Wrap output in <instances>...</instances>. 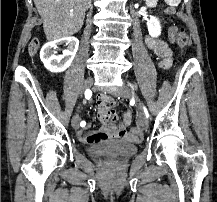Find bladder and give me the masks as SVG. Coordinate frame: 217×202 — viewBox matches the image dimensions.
<instances>
[{"label":"bladder","mask_w":217,"mask_h":202,"mask_svg":"<svg viewBox=\"0 0 217 202\" xmlns=\"http://www.w3.org/2000/svg\"><path fill=\"white\" fill-rule=\"evenodd\" d=\"M136 150V145L125 140H109L106 142L93 143L87 147L90 157L93 158H102L108 153L117 156L134 155Z\"/></svg>","instance_id":"1"}]
</instances>
